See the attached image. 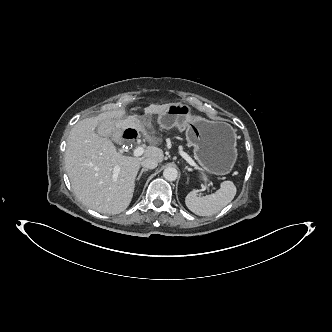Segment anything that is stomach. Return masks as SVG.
Masks as SVG:
<instances>
[{
  "label": "stomach",
  "mask_w": 332,
  "mask_h": 332,
  "mask_svg": "<svg viewBox=\"0 0 332 332\" xmlns=\"http://www.w3.org/2000/svg\"><path fill=\"white\" fill-rule=\"evenodd\" d=\"M158 123L162 129H186V138L202 171V182L208 184L209 175H226L232 171L238 153L236 134L228 123L191 116L189 106L182 103H171L159 115Z\"/></svg>",
  "instance_id": "obj_1"
}]
</instances>
